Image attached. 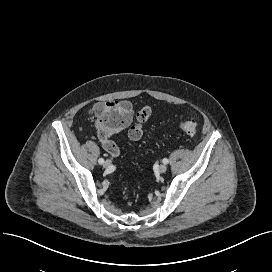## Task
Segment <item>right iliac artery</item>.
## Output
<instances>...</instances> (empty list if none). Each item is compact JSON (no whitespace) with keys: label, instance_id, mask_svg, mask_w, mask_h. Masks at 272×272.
Here are the masks:
<instances>
[{"label":"right iliac artery","instance_id":"obj_1","mask_svg":"<svg viewBox=\"0 0 272 272\" xmlns=\"http://www.w3.org/2000/svg\"><path fill=\"white\" fill-rule=\"evenodd\" d=\"M98 162H99V164H103V163H104V159H103V158H100V159L98 160Z\"/></svg>","mask_w":272,"mask_h":272}]
</instances>
